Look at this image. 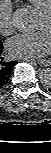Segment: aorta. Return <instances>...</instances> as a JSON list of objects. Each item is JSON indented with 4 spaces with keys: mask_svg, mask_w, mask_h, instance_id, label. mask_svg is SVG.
Wrapping results in <instances>:
<instances>
[{
    "mask_svg": "<svg viewBox=\"0 0 51 153\" xmlns=\"http://www.w3.org/2000/svg\"><path fill=\"white\" fill-rule=\"evenodd\" d=\"M12 19L17 30L27 33L35 30L40 19V14L33 7L25 6L15 10ZM39 80L43 86L50 87L51 69L45 68L41 70L39 73Z\"/></svg>",
    "mask_w": 51,
    "mask_h": 153,
    "instance_id": "obj_1",
    "label": "aorta"
}]
</instances>
